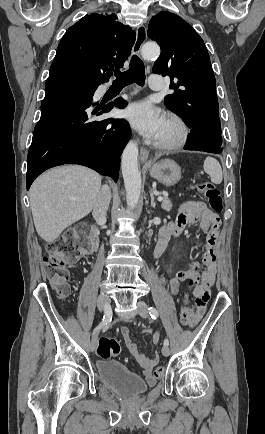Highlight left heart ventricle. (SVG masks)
Here are the masks:
<instances>
[{
	"instance_id": "left-heart-ventricle-1",
	"label": "left heart ventricle",
	"mask_w": 265,
	"mask_h": 434,
	"mask_svg": "<svg viewBox=\"0 0 265 434\" xmlns=\"http://www.w3.org/2000/svg\"><path fill=\"white\" fill-rule=\"evenodd\" d=\"M170 135H171V131H170V129L166 125V127H165V129L163 131V134H162L161 138L158 141L159 142L165 141V140H167L170 137Z\"/></svg>"
}]
</instances>
